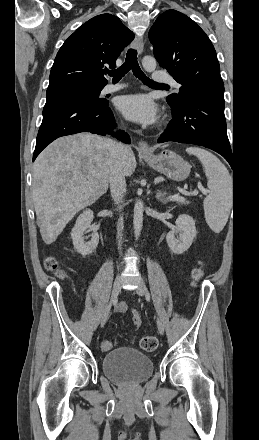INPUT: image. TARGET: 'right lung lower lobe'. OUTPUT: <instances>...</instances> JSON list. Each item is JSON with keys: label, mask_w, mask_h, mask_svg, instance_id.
<instances>
[{"label": "right lung lower lobe", "mask_w": 259, "mask_h": 440, "mask_svg": "<svg viewBox=\"0 0 259 440\" xmlns=\"http://www.w3.org/2000/svg\"><path fill=\"white\" fill-rule=\"evenodd\" d=\"M115 126V118L107 100L84 95L49 98L43 109L33 161L48 144L61 136L79 132L106 135ZM112 136L130 143L129 135L123 131L113 133Z\"/></svg>", "instance_id": "98d812e1"}]
</instances>
